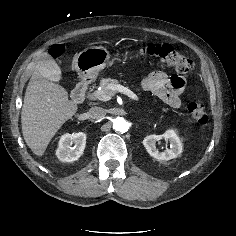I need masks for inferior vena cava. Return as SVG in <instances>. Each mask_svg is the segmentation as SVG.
<instances>
[{
	"label": "inferior vena cava",
	"instance_id": "602c4592",
	"mask_svg": "<svg viewBox=\"0 0 236 236\" xmlns=\"http://www.w3.org/2000/svg\"><path fill=\"white\" fill-rule=\"evenodd\" d=\"M88 115L92 119H102L106 115V110L102 107H92L88 111Z\"/></svg>",
	"mask_w": 236,
	"mask_h": 236
}]
</instances>
